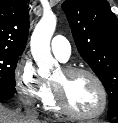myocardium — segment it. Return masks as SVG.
I'll return each instance as SVG.
<instances>
[{"mask_svg":"<svg viewBox=\"0 0 118 123\" xmlns=\"http://www.w3.org/2000/svg\"><path fill=\"white\" fill-rule=\"evenodd\" d=\"M62 70L67 76H74V75H79V74H84V75L89 76L95 82V84L97 85V87L100 91L101 105L95 113L81 114V113L75 111L74 109H72L68 105V103L66 102V100L64 98L62 89L59 86L51 83L52 95H53L54 101H55L58 109H60L65 114H67L75 119H79V120H92V119H96V118H99L100 116H102L107 109L108 93H107V89H106L104 83L99 78V76L96 73H94L93 71H91L90 69L83 68V67L66 66Z\"/></svg>","mask_w":118,"mask_h":123,"instance_id":"myocardium-1","label":"myocardium"}]
</instances>
